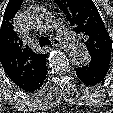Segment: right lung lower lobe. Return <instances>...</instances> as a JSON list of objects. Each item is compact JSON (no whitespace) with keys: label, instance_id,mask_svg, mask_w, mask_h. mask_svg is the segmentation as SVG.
I'll return each mask as SVG.
<instances>
[{"label":"right lung lower lobe","instance_id":"1","mask_svg":"<svg viewBox=\"0 0 113 113\" xmlns=\"http://www.w3.org/2000/svg\"><path fill=\"white\" fill-rule=\"evenodd\" d=\"M46 74H47V68L38 77V79L32 85H30L25 91L34 92L35 90H37L38 88H40L42 86L45 78H46Z\"/></svg>","mask_w":113,"mask_h":113}]
</instances>
